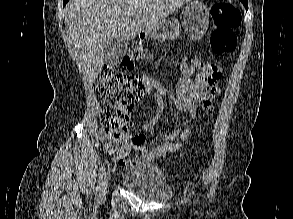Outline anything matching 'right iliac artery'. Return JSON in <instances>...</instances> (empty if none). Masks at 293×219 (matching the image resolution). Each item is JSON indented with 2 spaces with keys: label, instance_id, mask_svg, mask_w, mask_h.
<instances>
[{
  "label": "right iliac artery",
  "instance_id": "1",
  "mask_svg": "<svg viewBox=\"0 0 293 219\" xmlns=\"http://www.w3.org/2000/svg\"><path fill=\"white\" fill-rule=\"evenodd\" d=\"M105 174V167L104 166H101L99 168V180H100V183H99V186L96 188V193L98 194L99 191H100V187H101V181L103 179V176Z\"/></svg>",
  "mask_w": 293,
  "mask_h": 219
}]
</instances>
